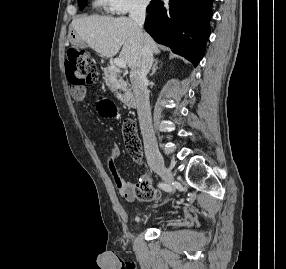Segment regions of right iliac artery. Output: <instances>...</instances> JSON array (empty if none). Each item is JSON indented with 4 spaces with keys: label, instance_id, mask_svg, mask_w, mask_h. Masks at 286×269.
Here are the masks:
<instances>
[{
    "label": "right iliac artery",
    "instance_id": "82829eb1",
    "mask_svg": "<svg viewBox=\"0 0 286 269\" xmlns=\"http://www.w3.org/2000/svg\"><path fill=\"white\" fill-rule=\"evenodd\" d=\"M158 186L163 190H170L169 186L165 183H159Z\"/></svg>",
    "mask_w": 286,
    "mask_h": 269
}]
</instances>
